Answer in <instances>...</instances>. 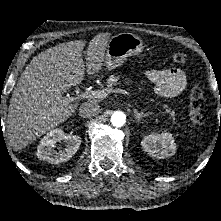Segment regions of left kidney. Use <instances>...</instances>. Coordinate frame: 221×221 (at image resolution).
Here are the masks:
<instances>
[{"label":"left kidney","instance_id":"obj_1","mask_svg":"<svg viewBox=\"0 0 221 221\" xmlns=\"http://www.w3.org/2000/svg\"><path fill=\"white\" fill-rule=\"evenodd\" d=\"M141 145L145 152L157 159H166L176 153V144L170 132L150 134L143 138Z\"/></svg>","mask_w":221,"mask_h":221}]
</instances>
